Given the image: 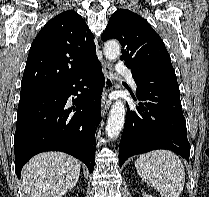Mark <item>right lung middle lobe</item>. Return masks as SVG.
<instances>
[{
    "instance_id": "right-lung-middle-lobe-1",
    "label": "right lung middle lobe",
    "mask_w": 209,
    "mask_h": 197,
    "mask_svg": "<svg viewBox=\"0 0 209 197\" xmlns=\"http://www.w3.org/2000/svg\"><path fill=\"white\" fill-rule=\"evenodd\" d=\"M45 89H47V88H45ZM41 90H44V89L21 91L20 92V97H23V96H26V95H29V94H32L34 92H38V91H41Z\"/></svg>"
}]
</instances>
